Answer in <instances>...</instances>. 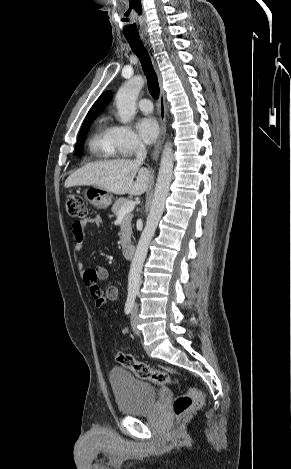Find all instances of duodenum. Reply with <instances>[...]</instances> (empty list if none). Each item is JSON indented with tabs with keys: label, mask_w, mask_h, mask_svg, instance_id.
<instances>
[{
	"label": "duodenum",
	"mask_w": 291,
	"mask_h": 469,
	"mask_svg": "<svg viewBox=\"0 0 291 469\" xmlns=\"http://www.w3.org/2000/svg\"><path fill=\"white\" fill-rule=\"evenodd\" d=\"M135 246L132 244H126L123 248V254L126 258L130 259L134 256Z\"/></svg>",
	"instance_id": "duodenum-1"
}]
</instances>
